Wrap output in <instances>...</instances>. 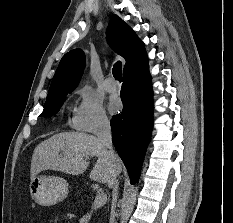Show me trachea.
Returning <instances> with one entry per match:
<instances>
[{
    "instance_id": "obj_1",
    "label": "trachea",
    "mask_w": 233,
    "mask_h": 223,
    "mask_svg": "<svg viewBox=\"0 0 233 223\" xmlns=\"http://www.w3.org/2000/svg\"><path fill=\"white\" fill-rule=\"evenodd\" d=\"M113 76L119 82L122 81V64L121 62H116L113 66Z\"/></svg>"
}]
</instances>
